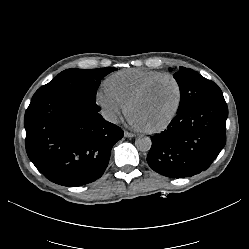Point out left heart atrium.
Instances as JSON below:
<instances>
[{"label":"left heart atrium","mask_w":249,"mask_h":249,"mask_svg":"<svg viewBox=\"0 0 249 249\" xmlns=\"http://www.w3.org/2000/svg\"><path fill=\"white\" fill-rule=\"evenodd\" d=\"M126 120L128 122V124L134 128V129H137V130H145V126L142 124V122L140 121L138 115L130 110L126 116Z\"/></svg>","instance_id":"39dd6f15"}]
</instances>
